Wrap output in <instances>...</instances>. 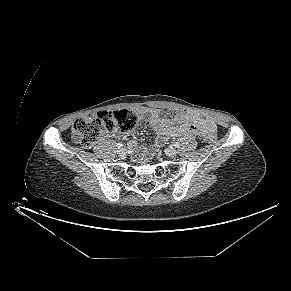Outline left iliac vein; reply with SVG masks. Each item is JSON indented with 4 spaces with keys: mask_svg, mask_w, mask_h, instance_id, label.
<instances>
[{
    "mask_svg": "<svg viewBox=\"0 0 291 291\" xmlns=\"http://www.w3.org/2000/svg\"><path fill=\"white\" fill-rule=\"evenodd\" d=\"M165 153L169 157H174L177 154V151H176V149L169 147L165 150Z\"/></svg>",
    "mask_w": 291,
    "mask_h": 291,
    "instance_id": "4c4485c4",
    "label": "left iliac vein"
}]
</instances>
